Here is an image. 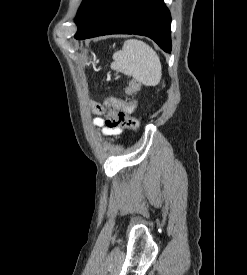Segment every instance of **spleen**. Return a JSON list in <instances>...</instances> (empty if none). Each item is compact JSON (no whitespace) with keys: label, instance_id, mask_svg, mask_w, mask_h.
<instances>
[{"label":"spleen","instance_id":"3e777b00","mask_svg":"<svg viewBox=\"0 0 247 275\" xmlns=\"http://www.w3.org/2000/svg\"><path fill=\"white\" fill-rule=\"evenodd\" d=\"M111 68L134 77L145 86H156L162 76L157 53L145 42L137 39L125 41L122 50L113 55Z\"/></svg>","mask_w":247,"mask_h":275}]
</instances>
